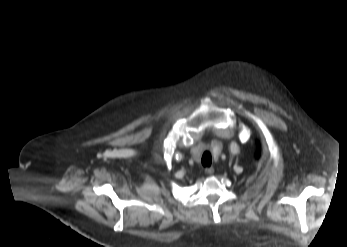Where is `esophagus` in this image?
I'll list each match as a JSON object with an SVG mask.
<instances>
[{
    "label": "esophagus",
    "mask_w": 347,
    "mask_h": 247,
    "mask_svg": "<svg viewBox=\"0 0 347 247\" xmlns=\"http://www.w3.org/2000/svg\"><path fill=\"white\" fill-rule=\"evenodd\" d=\"M205 173L207 175H212L214 173V168L213 167H207L205 168Z\"/></svg>",
    "instance_id": "esophagus-1"
}]
</instances>
